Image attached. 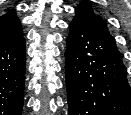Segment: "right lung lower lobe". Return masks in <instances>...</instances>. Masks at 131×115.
<instances>
[{
    "mask_svg": "<svg viewBox=\"0 0 131 115\" xmlns=\"http://www.w3.org/2000/svg\"><path fill=\"white\" fill-rule=\"evenodd\" d=\"M25 38L0 46V115H21L25 86Z\"/></svg>",
    "mask_w": 131,
    "mask_h": 115,
    "instance_id": "1",
    "label": "right lung lower lobe"
}]
</instances>
